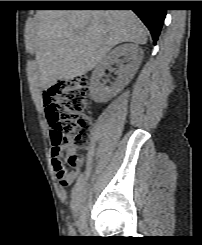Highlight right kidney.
<instances>
[{"instance_id":"right-kidney-1","label":"right kidney","mask_w":202,"mask_h":245,"mask_svg":"<svg viewBox=\"0 0 202 245\" xmlns=\"http://www.w3.org/2000/svg\"><path fill=\"white\" fill-rule=\"evenodd\" d=\"M120 57L126 58V65H120L115 82L106 87L101 83L105 69L114 64ZM143 58L142 49L135 44H123L110 51L92 72L90 79L91 97L96 102H107L116 96L133 78Z\"/></svg>"}]
</instances>
